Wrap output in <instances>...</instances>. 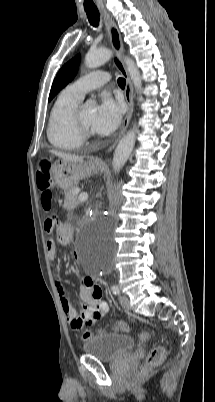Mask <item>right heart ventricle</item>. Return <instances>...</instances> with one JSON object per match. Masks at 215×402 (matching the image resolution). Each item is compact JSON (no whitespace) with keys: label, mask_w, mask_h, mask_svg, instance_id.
<instances>
[{"label":"right heart ventricle","mask_w":215,"mask_h":402,"mask_svg":"<svg viewBox=\"0 0 215 402\" xmlns=\"http://www.w3.org/2000/svg\"><path fill=\"white\" fill-rule=\"evenodd\" d=\"M81 100V97L68 88L61 91L56 97L47 126V137L54 147L62 150H74L82 145L83 139L73 125V112Z\"/></svg>","instance_id":"obj_1"}]
</instances>
